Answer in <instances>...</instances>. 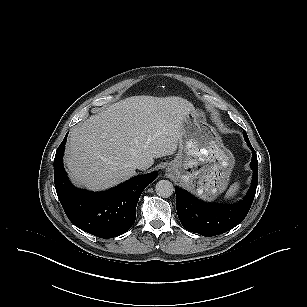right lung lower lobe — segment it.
<instances>
[{"label": "right lung lower lobe", "instance_id": "1", "mask_svg": "<svg viewBox=\"0 0 307 307\" xmlns=\"http://www.w3.org/2000/svg\"><path fill=\"white\" fill-rule=\"evenodd\" d=\"M67 134L56 151L54 182L58 198L69 220L79 229L100 238L124 234L134 224L141 193L157 172L140 175L105 192H91L74 187L63 167Z\"/></svg>", "mask_w": 307, "mask_h": 307}]
</instances>
